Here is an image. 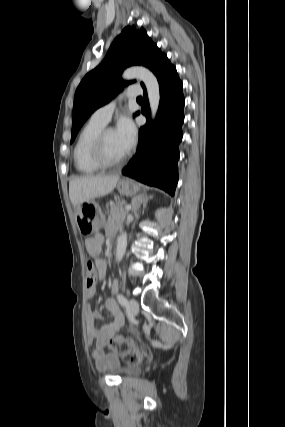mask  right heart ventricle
<instances>
[{
  "label": "right heart ventricle",
  "mask_w": 285,
  "mask_h": 427,
  "mask_svg": "<svg viewBox=\"0 0 285 427\" xmlns=\"http://www.w3.org/2000/svg\"><path fill=\"white\" fill-rule=\"evenodd\" d=\"M105 125L91 118L81 129L73 149V161L79 173L92 175L100 170L93 162L90 152L95 138Z\"/></svg>",
  "instance_id": "obj_1"
}]
</instances>
